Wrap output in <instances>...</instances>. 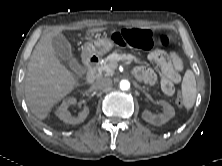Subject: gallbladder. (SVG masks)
<instances>
[{"instance_id":"bac80fb5","label":"gallbladder","mask_w":222,"mask_h":166,"mask_svg":"<svg viewBox=\"0 0 222 166\" xmlns=\"http://www.w3.org/2000/svg\"><path fill=\"white\" fill-rule=\"evenodd\" d=\"M52 46L58 57L65 60L71 68H76L77 60L74 57L71 45L65 36L62 34L54 36L52 38Z\"/></svg>"}]
</instances>
